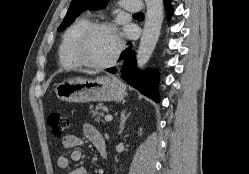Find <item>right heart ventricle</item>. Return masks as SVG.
<instances>
[{"label":"right heart ventricle","instance_id":"e07e8e85","mask_svg":"<svg viewBox=\"0 0 249 174\" xmlns=\"http://www.w3.org/2000/svg\"><path fill=\"white\" fill-rule=\"evenodd\" d=\"M89 24L88 18H80L66 30L59 47V63L63 68L76 70L81 67L74 55V46L79 35Z\"/></svg>","mask_w":249,"mask_h":174}]
</instances>
